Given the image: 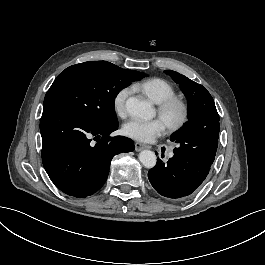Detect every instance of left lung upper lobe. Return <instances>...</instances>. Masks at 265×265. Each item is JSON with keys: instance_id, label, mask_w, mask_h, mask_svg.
<instances>
[{"instance_id": "5c2ea615", "label": "left lung upper lobe", "mask_w": 265, "mask_h": 265, "mask_svg": "<svg viewBox=\"0 0 265 265\" xmlns=\"http://www.w3.org/2000/svg\"><path fill=\"white\" fill-rule=\"evenodd\" d=\"M166 74L178 83L188 100V121L172 134L175 155L210 170L218 147L219 115L210 93L202 85L172 70Z\"/></svg>"}]
</instances>
